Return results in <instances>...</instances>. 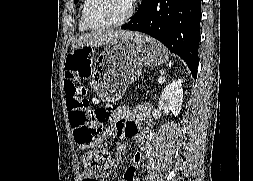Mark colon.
I'll use <instances>...</instances> for the list:
<instances>
[{
	"label": "colon",
	"instance_id": "colon-1",
	"mask_svg": "<svg viewBox=\"0 0 253 181\" xmlns=\"http://www.w3.org/2000/svg\"><path fill=\"white\" fill-rule=\"evenodd\" d=\"M91 51V48H75V51L68 55L66 61L65 93L69 123L74 140L81 148H90L103 140V124L110 118L109 109H93L91 107L90 101L86 98V87L78 84L81 77L79 72L80 53H91ZM109 160L108 152L102 149H93L85 154L83 163L88 171L99 174L106 169Z\"/></svg>",
	"mask_w": 253,
	"mask_h": 181
}]
</instances>
